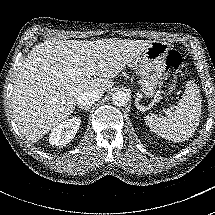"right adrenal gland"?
Returning <instances> with one entry per match:
<instances>
[{
	"label": "right adrenal gland",
	"mask_w": 215,
	"mask_h": 215,
	"mask_svg": "<svg viewBox=\"0 0 215 215\" xmlns=\"http://www.w3.org/2000/svg\"><path fill=\"white\" fill-rule=\"evenodd\" d=\"M78 108H79V110H80L82 113L84 112L85 114H87V111H88L91 107H85V108H84L85 111H83L82 107H78Z\"/></svg>",
	"instance_id": "right-adrenal-gland-1"
}]
</instances>
